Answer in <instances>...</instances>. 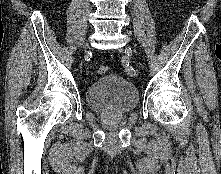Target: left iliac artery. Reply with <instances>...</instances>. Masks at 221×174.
Returning <instances> with one entry per match:
<instances>
[{
  "instance_id": "obj_1",
  "label": "left iliac artery",
  "mask_w": 221,
  "mask_h": 174,
  "mask_svg": "<svg viewBox=\"0 0 221 174\" xmlns=\"http://www.w3.org/2000/svg\"><path fill=\"white\" fill-rule=\"evenodd\" d=\"M122 66L125 68V71L128 75H135L136 71L130 64V58L128 56H123L121 59Z\"/></svg>"
}]
</instances>
